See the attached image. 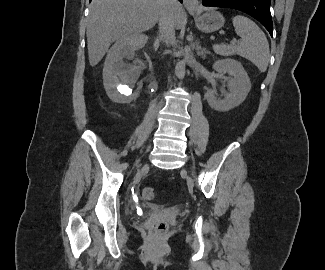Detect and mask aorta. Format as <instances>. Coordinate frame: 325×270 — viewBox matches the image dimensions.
Returning a JSON list of instances; mask_svg holds the SVG:
<instances>
[{
    "mask_svg": "<svg viewBox=\"0 0 325 270\" xmlns=\"http://www.w3.org/2000/svg\"><path fill=\"white\" fill-rule=\"evenodd\" d=\"M185 67L186 60H181L176 64L175 74L179 79H183L185 77Z\"/></svg>",
    "mask_w": 325,
    "mask_h": 270,
    "instance_id": "762f6f07",
    "label": "aorta"
}]
</instances>
